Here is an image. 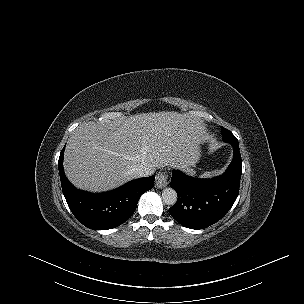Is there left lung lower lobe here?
I'll use <instances>...</instances> for the list:
<instances>
[{"label": "left lung lower lobe", "instance_id": "obj_1", "mask_svg": "<svg viewBox=\"0 0 304 304\" xmlns=\"http://www.w3.org/2000/svg\"><path fill=\"white\" fill-rule=\"evenodd\" d=\"M228 143L234 156L223 175L199 179L172 171L170 186L177 192L178 200L169 213L181 225L196 230L209 227L233 206L239 193L242 161L238 142Z\"/></svg>", "mask_w": 304, "mask_h": 304}]
</instances>
